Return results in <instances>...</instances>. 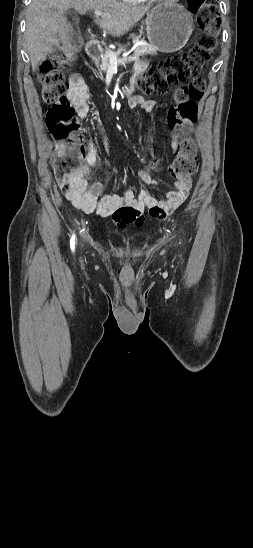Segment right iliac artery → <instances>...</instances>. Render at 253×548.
Instances as JSON below:
<instances>
[{
    "mask_svg": "<svg viewBox=\"0 0 253 548\" xmlns=\"http://www.w3.org/2000/svg\"><path fill=\"white\" fill-rule=\"evenodd\" d=\"M75 236L73 235L72 238H71V241H70V246H71V249L74 250V245H75Z\"/></svg>",
    "mask_w": 253,
    "mask_h": 548,
    "instance_id": "obj_1",
    "label": "right iliac artery"
}]
</instances>
